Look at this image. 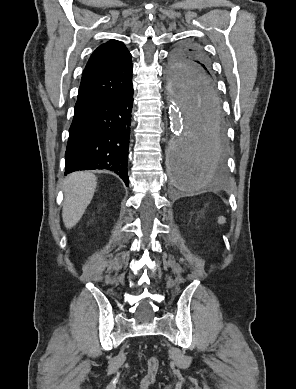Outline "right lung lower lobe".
Masks as SVG:
<instances>
[{"mask_svg":"<svg viewBox=\"0 0 296 389\" xmlns=\"http://www.w3.org/2000/svg\"><path fill=\"white\" fill-rule=\"evenodd\" d=\"M132 83L119 95L75 110L65 153V174L107 169L128 183Z\"/></svg>","mask_w":296,"mask_h":389,"instance_id":"right-lung-lower-lobe-1","label":"right lung lower lobe"}]
</instances>
